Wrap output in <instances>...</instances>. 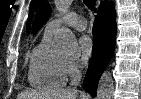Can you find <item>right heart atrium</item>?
<instances>
[{"label":"right heart atrium","instance_id":"d8ad5b80","mask_svg":"<svg viewBox=\"0 0 141 99\" xmlns=\"http://www.w3.org/2000/svg\"><path fill=\"white\" fill-rule=\"evenodd\" d=\"M80 73V65L76 61H65V74L69 78H76Z\"/></svg>","mask_w":141,"mask_h":99}]
</instances>
